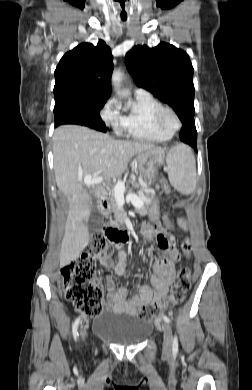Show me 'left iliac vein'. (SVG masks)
<instances>
[{
	"mask_svg": "<svg viewBox=\"0 0 252 390\" xmlns=\"http://www.w3.org/2000/svg\"><path fill=\"white\" fill-rule=\"evenodd\" d=\"M163 331V351L170 353L172 350L173 335L171 326L167 322H163L161 325Z\"/></svg>",
	"mask_w": 252,
	"mask_h": 390,
	"instance_id": "left-iliac-vein-1",
	"label": "left iliac vein"
}]
</instances>
